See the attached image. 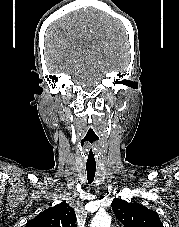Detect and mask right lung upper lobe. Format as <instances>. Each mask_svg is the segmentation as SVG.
<instances>
[{"mask_svg":"<svg viewBox=\"0 0 179 227\" xmlns=\"http://www.w3.org/2000/svg\"><path fill=\"white\" fill-rule=\"evenodd\" d=\"M25 227H77L74 210L65 201L41 212Z\"/></svg>","mask_w":179,"mask_h":227,"instance_id":"right-lung-upper-lobe-1","label":"right lung upper lobe"}]
</instances>
